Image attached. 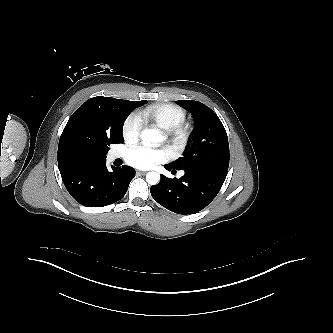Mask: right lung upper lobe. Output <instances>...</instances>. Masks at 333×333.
I'll return each instance as SVG.
<instances>
[{
    "label": "right lung upper lobe",
    "mask_w": 333,
    "mask_h": 333,
    "mask_svg": "<svg viewBox=\"0 0 333 333\" xmlns=\"http://www.w3.org/2000/svg\"><path fill=\"white\" fill-rule=\"evenodd\" d=\"M116 101L111 97H94L72 114L59 140V170L77 158L89 156L95 135L112 126V109Z\"/></svg>",
    "instance_id": "right-lung-upper-lobe-1"
}]
</instances>
